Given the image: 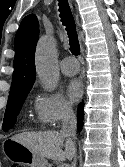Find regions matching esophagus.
<instances>
[{"instance_id": "34e87169", "label": "esophagus", "mask_w": 125, "mask_h": 167, "mask_svg": "<svg viewBox=\"0 0 125 167\" xmlns=\"http://www.w3.org/2000/svg\"><path fill=\"white\" fill-rule=\"evenodd\" d=\"M76 21H77V24L79 25V20H78V17H76Z\"/></svg>"}]
</instances>
